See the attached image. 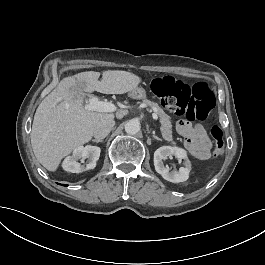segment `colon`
I'll return each instance as SVG.
<instances>
[{"label": "colon", "mask_w": 265, "mask_h": 265, "mask_svg": "<svg viewBox=\"0 0 265 265\" xmlns=\"http://www.w3.org/2000/svg\"><path fill=\"white\" fill-rule=\"evenodd\" d=\"M151 92L169 110L190 120H205L215 101V90L207 83L190 85L172 75H162L152 79ZM214 141L213 151L220 156L225 149L222 129L218 125L210 127Z\"/></svg>", "instance_id": "1"}]
</instances>
